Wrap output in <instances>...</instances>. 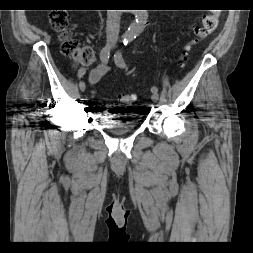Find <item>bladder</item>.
Masks as SVG:
<instances>
[{
    "mask_svg": "<svg viewBox=\"0 0 253 253\" xmlns=\"http://www.w3.org/2000/svg\"><path fill=\"white\" fill-rule=\"evenodd\" d=\"M115 109V111L101 112L100 127L102 129L114 133H127L135 131L139 128V121L137 119H133V116L127 114L125 112V107H115Z\"/></svg>",
    "mask_w": 253,
    "mask_h": 253,
    "instance_id": "31cf9c89",
    "label": "bladder"
}]
</instances>
